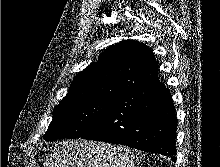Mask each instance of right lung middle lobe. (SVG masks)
Returning <instances> with one entry per match:
<instances>
[{
  "label": "right lung middle lobe",
  "mask_w": 220,
  "mask_h": 167,
  "mask_svg": "<svg viewBox=\"0 0 220 167\" xmlns=\"http://www.w3.org/2000/svg\"><path fill=\"white\" fill-rule=\"evenodd\" d=\"M114 98L88 96L63 99L53 111V119L43 136L46 141L80 138L106 114Z\"/></svg>",
  "instance_id": "1"
}]
</instances>
